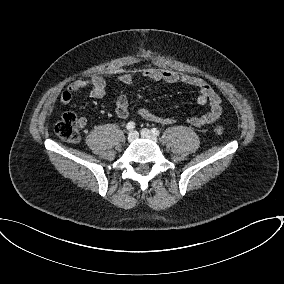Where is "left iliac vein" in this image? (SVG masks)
Wrapping results in <instances>:
<instances>
[{"label": "left iliac vein", "mask_w": 284, "mask_h": 284, "mask_svg": "<svg viewBox=\"0 0 284 284\" xmlns=\"http://www.w3.org/2000/svg\"><path fill=\"white\" fill-rule=\"evenodd\" d=\"M141 136L143 138L149 139V140H151L153 142H157L156 136L150 130H148L146 128L141 130Z\"/></svg>", "instance_id": "obj_1"}]
</instances>
